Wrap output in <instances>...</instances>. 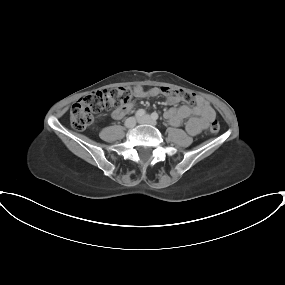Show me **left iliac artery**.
I'll use <instances>...</instances> for the list:
<instances>
[{"label":"left iliac artery","mask_w":285,"mask_h":285,"mask_svg":"<svg viewBox=\"0 0 285 285\" xmlns=\"http://www.w3.org/2000/svg\"><path fill=\"white\" fill-rule=\"evenodd\" d=\"M151 117L154 119V120H157L158 119V114L156 113V112H153L152 114H151Z\"/></svg>","instance_id":"obj_1"}]
</instances>
